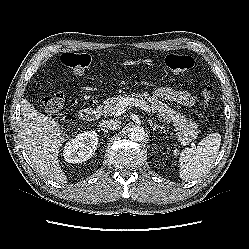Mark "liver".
Wrapping results in <instances>:
<instances>
[{
	"label": "liver",
	"instance_id": "1",
	"mask_svg": "<svg viewBox=\"0 0 249 249\" xmlns=\"http://www.w3.org/2000/svg\"><path fill=\"white\" fill-rule=\"evenodd\" d=\"M19 129L23 146L38 172L51 180L65 183L66 175L58 162L59 149L65 142L59 124L24 100Z\"/></svg>",
	"mask_w": 249,
	"mask_h": 249
}]
</instances>
